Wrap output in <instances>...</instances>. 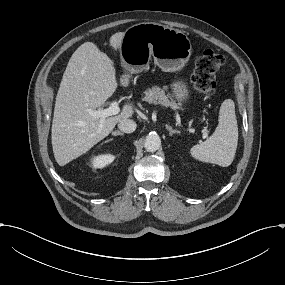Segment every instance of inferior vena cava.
<instances>
[{"label": "inferior vena cava", "instance_id": "602c4592", "mask_svg": "<svg viewBox=\"0 0 285 285\" xmlns=\"http://www.w3.org/2000/svg\"><path fill=\"white\" fill-rule=\"evenodd\" d=\"M118 128L122 132L132 133L136 129V123L131 119H122L118 123Z\"/></svg>", "mask_w": 285, "mask_h": 285}]
</instances>
